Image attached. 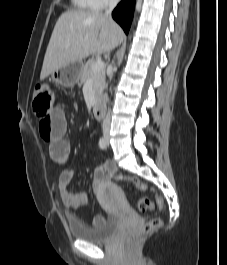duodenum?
<instances>
[{"label": "duodenum", "instance_id": "duodenum-1", "mask_svg": "<svg viewBox=\"0 0 227 265\" xmlns=\"http://www.w3.org/2000/svg\"><path fill=\"white\" fill-rule=\"evenodd\" d=\"M93 115L98 120L104 117V105L100 100L96 101L93 105Z\"/></svg>", "mask_w": 227, "mask_h": 265}]
</instances>
